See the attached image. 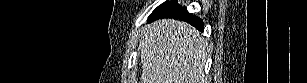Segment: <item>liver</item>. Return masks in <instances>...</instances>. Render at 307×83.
<instances>
[{
    "mask_svg": "<svg viewBox=\"0 0 307 83\" xmlns=\"http://www.w3.org/2000/svg\"><path fill=\"white\" fill-rule=\"evenodd\" d=\"M207 49L206 39L189 24L153 22L141 44V83H204Z\"/></svg>",
    "mask_w": 307,
    "mask_h": 83,
    "instance_id": "1",
    "label": "liver"
}]
</instances>
